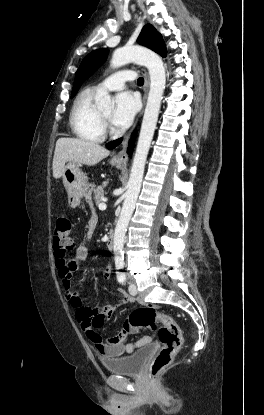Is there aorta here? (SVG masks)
Returning <instances> with one entry per match:
<instances>
[{
  "instance_id": "aorta-1",
  "label": "aorta",
  "mask_w": 264,
  "mask_h": 415,
  "mask_svg": "<svg viewBox=\"0 0 264 415\" xmlns=\"http://www.w3.org/2000/svg\"><path fill=\"white\" fill-rule=\"evenodd\" d=\"M130 62L147 67L150 76V90L127 184L128 189L115 227L113 250L116 268H121L124 265L125 234L140 192L146 159L156 128L166 84L165 67L162 59L153 51L141 46H126L113 52L111 67L117 68ZM96 104L102 110H111L114 107V101L106 92L97 95Z\"/></svg>"
}]
</instances>
